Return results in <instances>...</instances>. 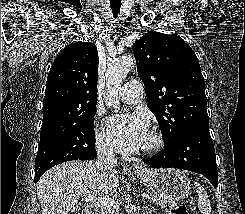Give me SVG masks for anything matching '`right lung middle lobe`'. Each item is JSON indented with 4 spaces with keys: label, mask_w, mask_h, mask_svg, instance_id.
Returning <instances> with one entry per match:
<instances>
[{
    "label": "right lung middle lobe",
    "mask_w": 245,
    "mask_h": 214,
    "mask_svg": "<svg viewBox=\"0 0 245 214\" xmlns=\"http://www.w3.org/2000/svg\"><path fill=\"white\" fill-rule=\"evenodd\" d=\"M95 110L75 123L40 134L35 173L71 160H90L95 147Z\"/></svg>",
    "instance_id": "dd1d6c3e"
}]
</instances>
